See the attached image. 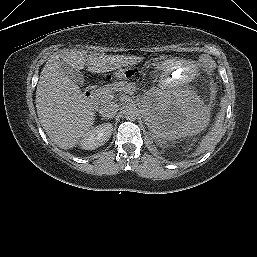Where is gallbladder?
<instances>
[{
  "instance_id": "bac80fb5",
  "label": "gallbladder",
  "mask_w": 257,
  "mask_h": 257,
  "mask_svg": "<svg viewBox=\"0 0 257 257\" xmlns=\"http://www.w3.org/2000/svg\"><path fill=\"white\" fill-rule=\"evenodd\" d=\"M63 69L66 75L76 84L83 85L84 84V76L80 72V70H77L75 68H72L71 66L63 63Z\"/></svg>"
}]
</instances>
